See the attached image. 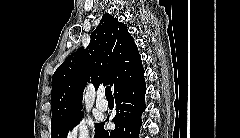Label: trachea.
<instances>
[{
	"mask_svg": "<svg viewBox=\"0 0 240 138\" xmlns=\"http://www.w3.org/2000/svg\"><path fill=\"white\" fill-rule=\"evenodd\" d=\"M105 95H106V98H107V99L113 98V95H112V91H111V87H110V86H107V87L105 88Z\"/></svg>",
	"mask_w": 240,
	"mask_h": 138,
	"instance_id": "1",
	"label": "trachea"
}]
</instances>
